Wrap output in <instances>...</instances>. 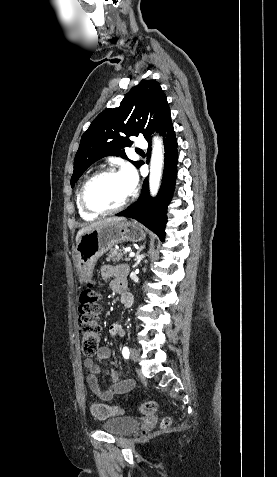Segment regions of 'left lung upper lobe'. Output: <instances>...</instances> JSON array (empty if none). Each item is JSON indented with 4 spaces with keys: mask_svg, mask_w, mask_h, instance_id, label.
Returning a JSON list of instances; mask_svg holds the SVG:
<instances>
[{
    "mask_svg": "<svg viewBox=\"0 0 277 477\" xmlns=\"http://www.w3.org/2000/svg\"><path fill=\"white\" fill-rule=\"evenodd\" d=\"M170 120V108L160 84L143 80L126 94L119 107L101 112L82 135L74 159L71 186L102 157L115 155L128 159L124 148L132 144L130 136L142 133L149 141L152 130L159 132ZM131 162L137 168L142 163Z\"/></svg>",
    "mask_w": 277,
    "mask_h": 477,
    "instance_id": "1",
    "label": "left lung upper lobe"
}]
</instances>
